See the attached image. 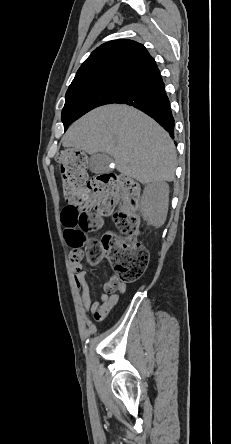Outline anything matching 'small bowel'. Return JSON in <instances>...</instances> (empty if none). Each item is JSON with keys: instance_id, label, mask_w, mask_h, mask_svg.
<instances>
[{"instance_id": "obj_1", "label": "small bowel", "mask_w": 231, "mask_h": 444, "mask_svg": "<svg viewBox=\"0 0 231 444\" xmlns=\"http://www.w3.org/2000/svg\"><path fill=\"white\" fill-rule=\"evenodd\" d=\"M65 239L67 243L74 248L71 259L73 269L75 271V282L78 291L81 294V304L84 310L90 311L96 321H102L109 313V311L118 304L119 298L117 295H110L103 293L99 299L92 300L90 295V288L86 281L87 272L82 268V252L80 247L84 241V234L65 228ZM124 291L125 286L120 287Z\"/></svg>"}]
</instances>
